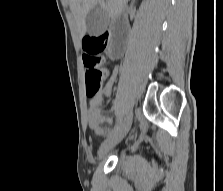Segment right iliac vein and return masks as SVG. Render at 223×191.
Here are the masks:
<instances>
[{
    "mask_svg": "<svg viewBox=\"0 0 223 191\" xmlns=\"http://www.w3.org/2000/svg\"><path fill=\"white\" fill-rule=\"evenodd\" d=\"M132 124V113L129 112L119 129L109 136L100 146L98 156L103 157L117 145L128 133Z\"/></svg>",
    "mask_w": 223,
    "mask_h": 191,
    "instance_id": "63e3f726",
    "label": "right iliac vein"
}]
</instances>
